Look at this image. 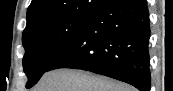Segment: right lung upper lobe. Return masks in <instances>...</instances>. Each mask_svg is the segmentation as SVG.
<instances>
[{
  "label": "right lung upper lobe",
  "mask_w": 173,
  "mask_h": 91,
  "mask_svg": "<svg viewBox=\"0 0 173 91\" xmlns=\"http://www.w3.org/2000/svg\"><path fill=\"white\" fill-rule=\"evenodd\" d=\"M109 0H32L27 10V27L69 15L96 12Z\"/></svg>",
  "instance_id": "cb5924a9"
}]
</instances>
